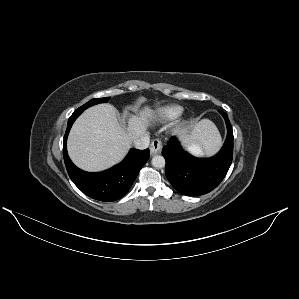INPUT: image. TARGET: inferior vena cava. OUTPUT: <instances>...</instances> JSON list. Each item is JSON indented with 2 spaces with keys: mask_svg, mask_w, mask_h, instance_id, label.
<instances>
[{
  "mask_svg": "<svg viewBox=\"0 0 299 299\" xmlns=\"http://www.w3.org/2000/svg\"><path fill=\"white\" fill-rule=\"evenodd\" d=\"M150 143V138L148 135H143L133 141V145L137 149H146Z\"/></svg>",
  "mask_w": 299,
  "mask_h": 299,
  "instance_id": "obj_1",
  "label": "inferior vena cava"
}]
</instances>
